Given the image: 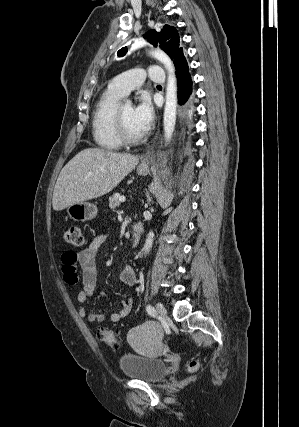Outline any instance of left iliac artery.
<instances>
[{"label": "left iliac artery", "mask_w": 299, "mask_h": 427, "mask_svg": "<svg viewBox=\"0 0 299 427\" xmlns=\"http://www.w3.org/2000/svg\"><path fill=\"white\" fill-rule=\"evenodd\" d=\"M146 310H147V312H148V314L149 315H151V316H156V311H155V309H154V307L153 306H151V305H148L147 307H146Z\"/></svg>", "instance_id": "obj_1"}]
</instances>
